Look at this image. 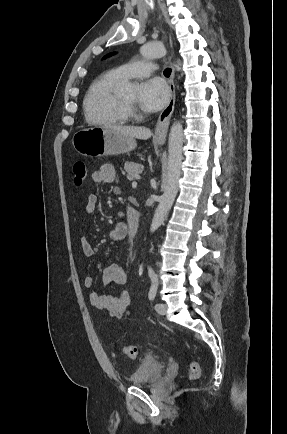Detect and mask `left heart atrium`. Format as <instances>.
<instances>
[{
    "mask_svg": "<svg viewBox=\"0 0 287 434\" xmlns=\"http://www.w3.org/2000/svg\"><path fill=\"white\" fill-rule=\"evenodd\" d=\"M170 91L160 78L150 79L142 83L138 91V103L147 112H155L166 105Z\"/></svg>",
    "mask_w": 287,
    "mask_h": 434,
    "instance_id": "left-heart-atrium-1",
    "label": "left heart atrium"
}]
</instances>
